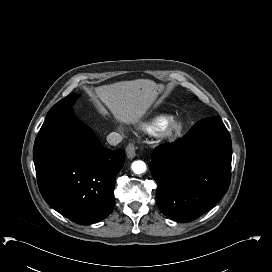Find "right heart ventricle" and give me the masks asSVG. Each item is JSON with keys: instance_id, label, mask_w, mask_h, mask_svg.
Returning <instances> with one entry per match:
<instances>
[{"instance_id": "obj_1", "label": "right heart ventricle", "mask_w": 272, "mask_h": 272, "mask_svg": "<svg viewBox=\"0 0 272 272\" xmlns=\"http://www.w3.org/2000/svg\"><path fill=\"white\" fill-rule=\"evenodd\" d=\"M170 121H171L170 117L161 116L145 124L143 128L147 133L160 132L169 125Z\"/></svg>"}]
</instances>
